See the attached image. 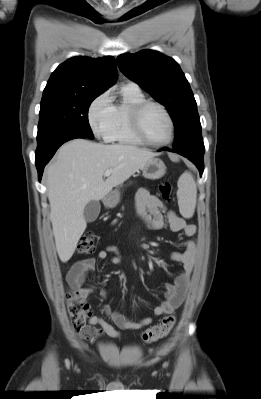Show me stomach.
<instances>
[{"instance_id":"1","label":"stomach","mask_w":261,"mask_h":399,"mask_svg":"<svg viewBox=\"0 0 261 399\" xmlns=\"http://www.w3.org/2000/svg\"><path fill=\"white\" fill-rule=\"evenodd\" d=\"M141 170L145 178L155 180L165 175L166 166L161 159L153 157L144 164ZM119 202H120V191L118 189L111 191L104 198V205L107 208H114L118 205Z\"/></svg>"}]
</instances>
